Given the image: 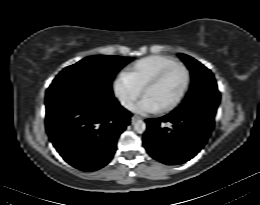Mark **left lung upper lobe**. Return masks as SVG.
I'll use <instances>...</instances> for the list:
<instances>
[{
    "label": "left lung upper lobe",
    "mask_w": 260,
    "mask_h": 205,
    "mask_svg": "<svg viewBox=\"0 0 260 205\" xmlns=\"http://www.w3.org/2000/svg\"><path fill=\"white\" fill-rule=\"evenodd\" d=\"M179 56L191 71L192 84L185 100L175 110H201L215 115L220 93L213 74L195 59L185 54Z\"/></svg>",
    "instance_id": "obj_1"
}]
</instances>
